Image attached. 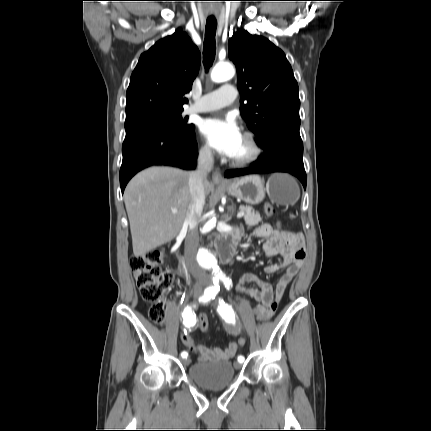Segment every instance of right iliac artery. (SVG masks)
I'll use <instances>...</instances> for the list:
<instances>
[{"instance_id":"82829eb1","label":"right iliac artery","mask_w":431,"mask_h":431,"mask_svg":"<svg viewBox=\"0 0 431 431\" xmlns=\"http://www.w3.org/2000/svg\"><path fill=\"white\" fill-rule=\"evenodd\" d=\"M212 291H213V289H211V288L206 289L204 291V294L199 298V302H202V303L208 302L212 298ZM193 307H195V305ZM193 307L192 306L185 307L184 311L182 313L183 323L188 328L194 326L196 323V318H195V314L193 311ZM181 356H182V358H187L188 353L183 351L181 353Z\"/></svg>"}]
</instances>
